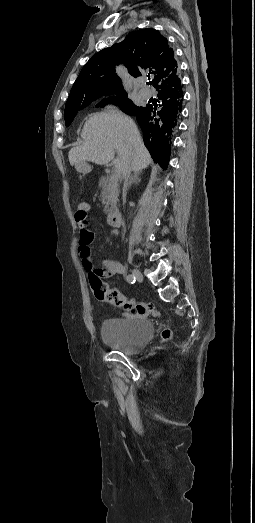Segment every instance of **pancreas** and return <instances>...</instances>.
Masks as SVG:
<instances>
[{
  "mask_svg": "<svg viewBox=\"0 0 255 523\" xmlns=\"http://www.w3.org/2000/svg\"><path fill=\"white\" fill-rule=\"evenodd\" d=\"M119 176H102L99 182L101 188L102 204H106L103 212L111 214L116 208L119 196Z\"/></svg>",
  "mask_w": 255,
  "mask_h": 523,
  "instance_id": "cf45deb5",
  "label": "pancreas"
}]
</instances>
